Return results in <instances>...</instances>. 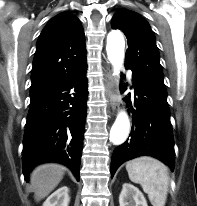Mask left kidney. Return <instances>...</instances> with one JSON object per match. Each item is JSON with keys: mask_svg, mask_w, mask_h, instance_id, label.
<instances>
[{"mask_svg": "<svg viewBox=\"0 0 197 206\" xmlns=\"http://www.w3.org/2000/svg\"><path fill=\"white\" fill-rule=\"evenodd\" d=\"M120 206H148L141 191L130 183H124L119 196Z\"/></svg>", "mask_w": 197, "mask_h": 206, "instance_id": "obj_1", "label": "left kidney"}]
</instances>
